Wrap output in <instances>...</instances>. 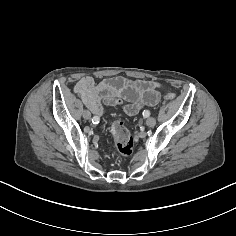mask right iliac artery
Masks as SVG:
<instances>
[{
    "instance_id": "obj_1",
    "label": "right iliac artery",
    "mask_w": 236,
    "mask_h": 236,
    "mask_svg": "<svg viewBox=\"0 0 236 236\" xmlns=\"http://www.w3.org/2000/svg\"><path fill=\"white\" fill-rule=\"evenodd\" d=\"M92 122H93V123H98V122H99V118H98L97 116H94V117L92 118Z\"/></svg>"
}]
</instances>
